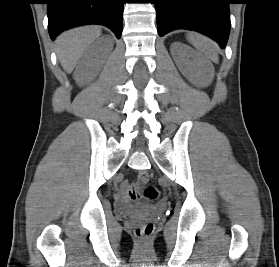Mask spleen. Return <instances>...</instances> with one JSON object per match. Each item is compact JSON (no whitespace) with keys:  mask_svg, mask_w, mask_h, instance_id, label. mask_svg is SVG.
I'll use <instances>...</instances> for the list:
<instances>
[{"mask_svg":"<svg viewBox=\"0 0 279 267\" xmlns=\"http://www.w3.org/2000/svg\"><path fill=\"white\" fill-rule=\"evenodd\" d=\"M188 39L194 47H196L205 55L206 58L212 60L215 63L218 62L216 48L209 39L200 35L193 34L188 35Z\"/></svg>","mask_w":279,"mask_h":267,"instance_id":"obj_1","label":"spleen"}]
</instances>
